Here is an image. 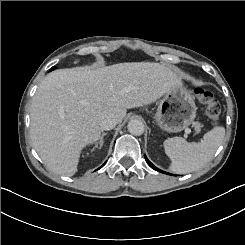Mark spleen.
<instances>
[{
	"label": "spleen",
	"mask_w": 245,
	"mask_h": 245,
	"mask_svg": "<svg viewBox=\"0 0 245 245\" xmlns=\"http://www.w3.org/2000/svg\"><path fill=\"white\" fill-rule=\"evenodd\" d=\"M224 136V127H215L199 143H189L182 137L168 138L164 141V149L172 161L170 169L186 174L204 167L215 155Z\"/></svg>",
	"instance_id": "1"
}]
</instances>
